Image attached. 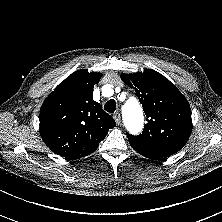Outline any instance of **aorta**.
Masks as SVG:
<instances>
[{"label":"aorta","instance_id":"762f6f07","mask_svg":"<svg viewBox=\"0 0 222 222\" xmlns=\"http://www.w3.org/2000/svg\"><path fill=\"white\" fill-rule=\"evenodd\" d=\"M124 118L127 129L137 134L143 128V112L136 102H129L124 108Z\"/></svg>","mask_w":222,"mask_h":222}]
</instances>
